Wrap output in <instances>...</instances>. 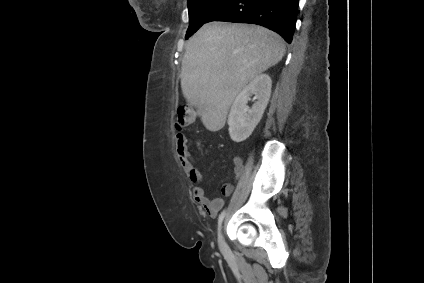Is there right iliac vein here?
<instances>
[{
    "mask_svg": "<svg viewBox=\"0 0 424 283\" xmlns=\"http://www.w3.org/2000/svg\"><path fill=\"white\" fill-rule=\"evenodd\" d=\"M218 243H219V248H220V250H221L223 253H226V252L228 251V246H227V244H226V242H225V240H224V238H223V235H222L221 233H220V235H219Z\"/></svg>",
    "mask_w": 424,
    "mask_h": 283,
    "instance_id": "right-iliac-vein-1",
    "label": "right iliac vein"
}]
</instances>
